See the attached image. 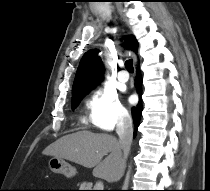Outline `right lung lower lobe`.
<instances>
[{
  "mask_svg": "<svg viewBox=\"0 0 210 191\" xmlns=\"http://www.w3.org/2000/svg\"><path fill=\"white\" fill-rule=\"evenodd\" d=\"M135 82H136V85H137V91L139 93L141 91V82H142V78H141V75H140L139 72H137ZM141 112H142V104L139 101L137 106L132 109V116H133V121H134L135 127H137L138 124H139ZM134 135H135V132H134Z\"/></svg>",
  "mask_w": 210,
  "mask_h": 191,
  "instance_id": "right-lung-lower-lobe-1",
  "label": "right lung lower lobe"
}]
</instances>
